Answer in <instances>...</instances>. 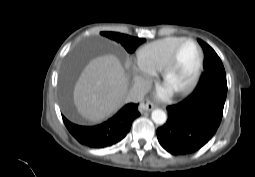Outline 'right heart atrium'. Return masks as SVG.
<instances>
[{
	"mask_svg": "<svg viewBox=\"0 0 255 177\" xmlns=\"http://www.w3.org/2000/svg\"><path fill=\"white\" fill-rule=\"evenodd\" d=\"M156 74V70L147 66L139 57L133 63V75L137 84L148 83Z\"/></svg>",
	"mask_w": 255,
	"mask_h": 177,
	"instance_id": "right-heart-atrium-1",
	"label": "right heart atrium"
}]
</instances>
